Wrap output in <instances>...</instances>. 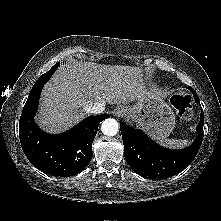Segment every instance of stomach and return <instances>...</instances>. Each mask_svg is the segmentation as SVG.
<instances>
[{
	"label": "stomach",
	"instance_id": "0dacf381",
	"mask_svg": "<svg viewBox=\"0 0 221 221\" xmlns=\"http://www.w3.org/2000/svg\"><path fill=\"white\" fill-rule=\"evenodd\" d=\"M125 116L145 130L152 138L162 141L175 127V115L158 90H150L131 106L123 107Z\"/></svg>",
	"mask_w": 221,
	"mask_h": 221
}]
</instances>
